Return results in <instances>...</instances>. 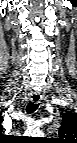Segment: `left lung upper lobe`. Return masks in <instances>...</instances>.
I'll return each instance as SVG.
<instances>
[{"label": "left lung upper lobe", "mask_w": 77, "mask_h": 143, "mask_svg": "<svg viewBox=\"0 0 77 143\" xmlns=\"http://www.w3.org/2000/svg\"><path fill=\"white\" fill-rule=\"evenodd\" d=\"M59 136L61 140H66V141L76 140L77 138V114L72 113V112L63 113L62 124L59 129Z\"/></svg>", "instance_id": "1"}]
</instances>
